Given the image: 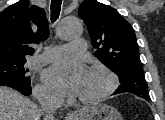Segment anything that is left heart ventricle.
Here are the masks:
<instances>
[{
    "mask_svg": "<svg viewBox=\"0 0 165 120\" xmlns=\"http://www.w3.org/2000/svg\"><path fill=\"white\" fill-rule=\"evenodd\" d=\"M108 84L107 77L100 72L87 71V75L77 94L80 98H90L100 94Z\"/></svg>",
    "mask_w": 165,
    "mask_h": 120,
    "instance_id": "obj_1",
    "label": "left heart ventricle"
}]
</instances>
